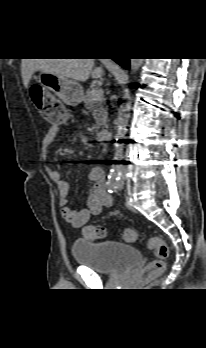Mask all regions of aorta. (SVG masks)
Returning a JSON list of instances; mask_svg holds the SVG:
<instances>
[{
	"label": "aorta",
	"mask_w": 206,
	"mask_h": 348,
	"mask_svg": "<svg viewBox=\"0 0 206 348\" xmlns=\"http://www.w3.org/2000/svg\"><path fill=\"white\" fill-rule=\"evenodd\" d=\"M143 59H131V70L132 72H136L139 67L142 65ZM129 94H125V97H128ZM129 106L128 105H122L118 110L117 115V133H116V140L122 139L126 132H127V125L129 121ZM115 150L117 154H120L123 150V145L120 142L115 143Z\"/></svg>",
	"instance_id": "obj_1"
}]
</instances>
